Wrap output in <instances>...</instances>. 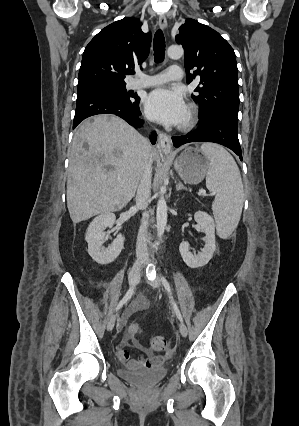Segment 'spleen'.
I'll list each match as a JSON object with an SVG mask.
<instances>
[{
	"label": "spleen",
	"mask_w": 299,
	"mask_h": 426,
	"mask_svg": "<svg viewBox=\"0 0 299 426\" xmlns=\"http://www.w3.org/2000/svg\"><path fill=\"white\" fill-rule=\"evenodd\" d=\"M200 148L210 161L206 186L216 194L212 210L217 232L220 237L227 238L240 221L244 203L240 171L233 157L223 147L204 143Z\"/></svg>",
	"instance_id": "1"
}]
</instances>
